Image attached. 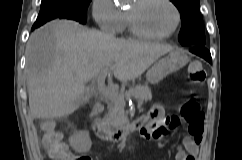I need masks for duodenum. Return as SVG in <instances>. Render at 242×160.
<instances>
[{"instance_id": "1", "label": "duodenum", "mask_w": 242, "mask_h": 160, "mask_svg": "<svg viewBox=\"0 0 242 160\" xmlns=\"http://www.w3.org/2000/svg\"><path fill=\"white\" fill-rule=\"evenodd\" d=\"M100 108L101 106L99 103H96L93 105L90 111V119H91V123H92V127L95 135L100 140H103L106 142L115 143L123 140L132 132L142 128V126L145 124V121H146V119L142 117V118L133 120L132 122L124 125L121 128L112 129L105 121H103L99 117Z\"/></svg>"}]
</instances>
